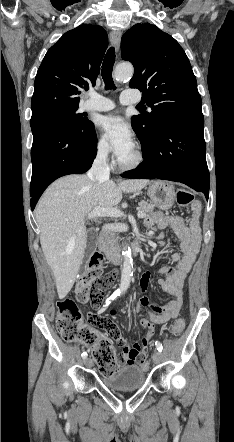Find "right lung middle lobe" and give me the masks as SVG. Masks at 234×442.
<instances>
[{
  "label": "right lung middle lobe",
  "instance_id": "obj_1",
  "mask_svg": "<svg viewBox=\"0 0 234 442\" xmlns=\"http://www.w3.org/2000/svg\"><path fill=\"white\" fill-rule=\"evenodd\" d=\"M42 123L61 124L73 132L84 135L94 128V124L87 120L86 113L78 112V107L56 108L32 115L31 127Z\"/></svg>",
  "mask_w": 234,
  "mask_h": 442
}]
</instances>
